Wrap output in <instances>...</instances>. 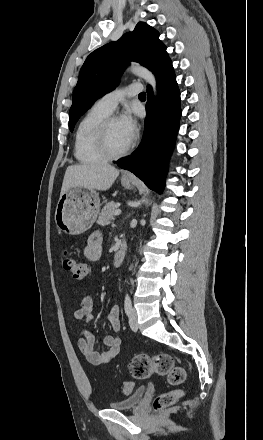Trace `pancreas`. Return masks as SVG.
<instances>
[{
    "instance_id": "pancreas-1",
    "label": "pancreas",
    "mask_w": 263,
    "mask_h": 440,
    "mask_svg": "<svg viewBox=\"0 0 263 440\" xmlns=\"http://www.w3.org/2000/svg\"><path fill=\"white\" fill-rule=\"evenodd\" d=\"M117 210V205L115 202L107 203L103 209L101 210L97 224L101 226L108 225L111 220L114 218V212Z\"/></svg>"
}]
</instances>
